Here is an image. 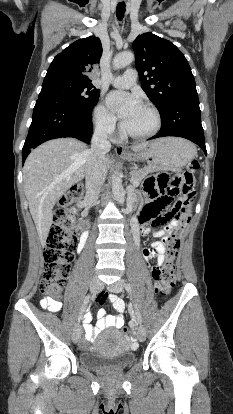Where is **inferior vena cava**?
Listing matches in <instances>:
<instances>
[{
	"label": "inferior vena cava",
	"instance_id": "inferior-vena-cava-1",
	"mask_svg": "<svg viewBox=\"0 0 233 414\" xmlns=\"http://www.w3.org/2000/svg\"><path fill=\"white\" fill-rule=\"evenodd\" d=\"M107 138V129L104 127H97L91 140V149L89 150L85 173V200L91 203L97 201L100 188L104 184L107 175L105 157L106 153L111 149V144Z\"/></svg>",
	"mask_w": 233,
	"mask_h": 414
}]
</instances>
